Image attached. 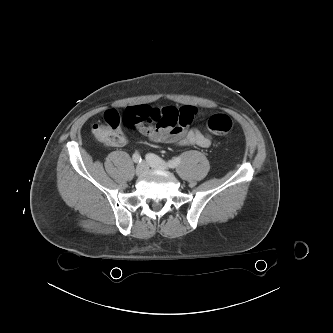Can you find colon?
Segmentation results:
<instances>
[{
	"mask_svg": "<svg viewBox=\"0 0 333 333\" xmlns=\"http://www.w3.org/2000/svg\"><path fill=\"white\" fill-rule=\"evenodd\" d=\"M122 123L130 126L129 121L122 118L117 111L108 110L104 114V121L95 123L91 130L97 140L111 146ZM207 127L214 134L226 135L232 130L233 123L225 114H214L208 119Z\"/></svg>",
	"mask_w": 333,
	"mask_h": 333,
	"instance_id": "5ec220e1",
	"label": "colon"
}]
</instances>
